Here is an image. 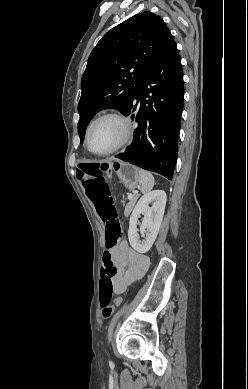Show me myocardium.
<instances>
[{
	"label": "myocardium",
	"instance_id": "obj_1",
	"mask_svg": "<svg viewBox=\"0 0 248 389\" xmlns=\"http://www.w3.org/2000/svg\"><path fill=\"white\" fill-rule=\"evenodd\" d=\"M104 119H114V120L118 121L120 123V125L122 126L123 133H122L121 139L114 146H112L111 148H109L105 151L98 152V151H94L90 146V135H91L92 128L98 122H100ZM132 135H133V126H132L130 119L121 112L108 111V112H104V113L98 115L89 123V125L86 129V134H85V144H86L87 149L91 153H93L97 156H107V155H110V154L120 150L124 146H126L130 142Z\"/></svg>",
	"mask_w": 248,
	"mask_h": 389
}]
</instances>
